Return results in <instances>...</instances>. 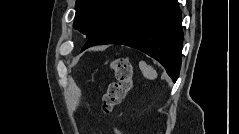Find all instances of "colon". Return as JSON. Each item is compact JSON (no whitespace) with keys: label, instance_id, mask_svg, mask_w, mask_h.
Instances as JSON below:
<instances>
[{"label":"colon","instance_id":"colon-1","mask_svg":"<svg viewBox=\"0 0 239 134\" xmlns=\"http://www.w3.org/2000/svg\"><path fill=\"white\" fill-rule=\"evenodd\" d=\"M115 80L112 81L103 97V110L110 113L122 102L132 87L133 67L126 58L115 57L110 62Z\"/></svg>","mask_w":239,"mask_h":134}]
</instances>
